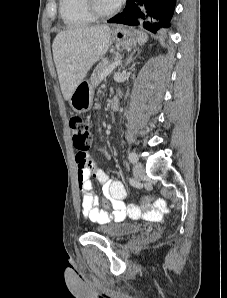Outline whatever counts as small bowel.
I'll list each match as a JSON object with an SVG mask.
<instances>
[{"mask_svg":"<svg viewBox=\"0 0 227 298\" xmlns=\"http://www.w3.org/2000/svg\"><path fill=\"white\" fill-rule=\"evenodd\" d=\"M75 160L79 189L82 194L81 209L85 218L91 221L106 222L110 219L122 220L126 215L133 216L132 212L141 214L142 211L135 204L126 206L123 202L126 190L122 182L112 179L103 169L99 168L88 153L79 150ZM93 178L100 183L103 194L110 201L114 209L112 214L100 209L98 197L93 190ZM143 213L152 219L160 217V211L154 206L146 207Z\"/></svg>","mask_w":227,"mask_h":298,"instance_id":"1","label":"small bowel"}]
</instances>
